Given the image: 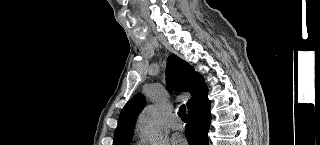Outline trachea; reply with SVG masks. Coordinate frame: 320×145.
<instances>
[{"instance_id":"3493384b","label":"trachea","mask_w":320,"mask_h":145,"mask_svg":"<svg viewBox=\"0 0 320 145\" xmlns=\"http://www.w3.org/2000/svg\"><path fill=\"white\" fill-rule=\"evenodd\" d=\"M179 117L182 121H188L187 115H186V108L185 105H181L178 112Z\"/></svg>"}]
</instances>
